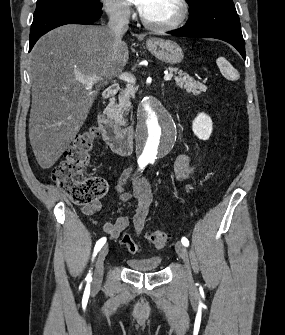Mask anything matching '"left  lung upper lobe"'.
Instances as JSON below:
<instances>
[{
    "instance_id": "left-lung-upper-lobe-1",
    "label": "left lung upper lobe",
    "mask_w": 285,
    "mask_h": 335,
    "mask_svg": "<svg viewBox=\"0 0 285 335\" xmlns=\"http://www.w3.org/2000/svg\"><path fill=\"white\" fill-rule=\"evenodd\" d=\"M190 7V14L195 13L208 3H233L232 0H186Z\"/></svg>"
}]
</instances>
